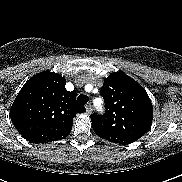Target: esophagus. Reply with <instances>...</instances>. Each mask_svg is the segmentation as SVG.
<instances>
[{
  "label": "esophagus",
  "instance_id": "obj_1",
  "mask_svg": "<svg viewBox=\"0 0 182 182\" xmlns=\"http://www.w3.org/2000/svg\"><path fill=\"white\" fill-rule=\"evenodd\" d=\"M92 111H93V107H92L91 103H89L88 105H86V113L91 114Z\"/></svg>",
  "mask_w": 182,
  "mask_h": 182
}]
</instances>
